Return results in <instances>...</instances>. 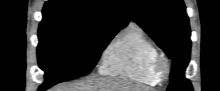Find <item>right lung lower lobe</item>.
Listing matches in <instances>:
<instances>
[{"label": "right lung lower lobe", "mask_w": 220, "mask_h": 91, "mask_svg": "<svg viewBox=\"0 0 220 91\" xmlns=\"http://www.w3.org/2000/svg\"><path fill=\"white\" fill-rule=\"evenodd\" d=\"M46 89H48V88L43 87V86H41V87L39 88L40 91H43V90H46Z\"/></svg>", "instance_id": "obj_1"}]
</instances>
